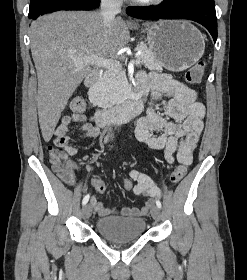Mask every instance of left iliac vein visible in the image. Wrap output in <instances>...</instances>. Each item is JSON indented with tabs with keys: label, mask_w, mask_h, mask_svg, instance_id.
Here are the masks:
<instances>
[{
	"label": "left iliac vein",
	"mask_w": 247,
	"mask_h": 280,
	"mask_svg": "<svg viewBox=\"0 0 247 280\" xmlns=\"http://www.w3.org/2000/svg\"><path fill=\"white\" fill-rule=\"evenodd\" d=\"M151 215L156 221H160V219H161L160 208H158L157 206H153L151 208Z\"/></svg>",
	"instance_id": "4c4485c4"
}]
</instances>
